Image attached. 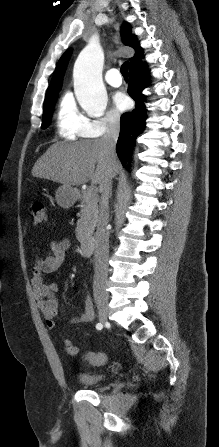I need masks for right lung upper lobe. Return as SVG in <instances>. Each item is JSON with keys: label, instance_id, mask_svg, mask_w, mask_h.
Listing matches in <instances>:
<instances>
[{"label": "right lung upper lobe", "instance_id": "right-lung-upper-lobe-1", "mask_svg": "<svg viewBox=\"0 0 219 447\" xmlns=\"http://www.w3.org/2000/svg\"><path fill=\"white\" fill-rule=\"evenodd\" d=\"M121 37L125 45L130 46L135 50V55L130 58V68L140 64L143 56V51L136 37L131 33V26L126 22L122 25ZM70 54L71 50L66 51L58 61L51 83L47 89L46 98L58 94V92L60 91L62 86V78L64 76Z\"/></svg>", "mask_w": 219, "mask_h": 447}]
</instances>
